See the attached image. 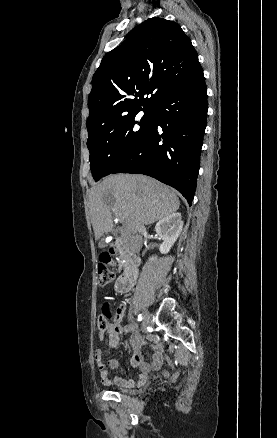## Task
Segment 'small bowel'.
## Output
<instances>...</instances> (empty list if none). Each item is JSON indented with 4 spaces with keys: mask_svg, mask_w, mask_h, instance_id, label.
Masks as SVG:
<instances>
[{
    "mask_svg": "<svg viewBox=\"0 0 277 438\" xmlns=\"http://www.w3.org/2000/svg\"><path fill=\"white\" fill-rule=\"evenodd\" d=\"M126 309V306L123 304L121 305L120 311L124 312ZM135 331V326L134 325H126V326H115V327H111L108 328L106 330H103L100 333V339H106L107 340V346L109 348H116L119 344L120 341V336L122 333H132ZM138 331H141V328H138ZM144 331H149V328H144ZM147 341L149 343H152L154 341V338L152 336H149L147 338ZM154 349V355H153V364L150 366L148 364H145L142 361V356L140 355V350L141 347L138 344L133 345L132 350H133V357L131 360V363L134 366L139 367L141 373L139 376V379L137 381H134L132 379H124V378H116L115 382L117 385L121 386V387H128V388H132L135 386L138 387H142L146 384L147 382V377H148V373L151 370L152 367H158L161 368L164 365L163 360H161L162 356L159 353V348L157 346H153ZM95 353V357L94 360L95 362H97V365L99 367V375L102 377L103 381L105 384H109L108 378H107V366H106V362L104 360V357L102 355L103 350L100 347L95 348L94 350ZM168 365H171V362H168ZM111 370L112 371H117L118 370V365L112 363L111 365Z\"/></svg>",
    "mask_w": 277,
    "mask_h": 438,
    "instance_id": "c3829d8e",
    "label": "small bowel"
}]
</instances>
